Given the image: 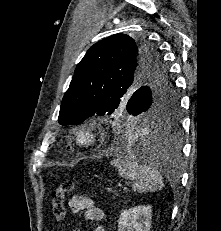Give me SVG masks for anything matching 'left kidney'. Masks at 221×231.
I'll list each match as a JSON object with an SVG mask.
<instances>
[{
	"instance_id": "1",
	"label": "left kidney",
	"mask_w": 221,
	"mask_h": 231,
	"mask_svg": "<svg viewBox=\"0 0 221 231\" xmlns=\"http://www.w3.org/2000/svg\"><path fill=\"white\" fill-rule=\"evenodd\" d=\"M152 207L137 206L124 210L118 219V231H150Z\"/></svg>"
}]
</instances>
